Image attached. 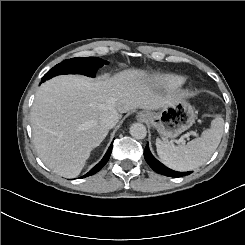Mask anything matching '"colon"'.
<instances>
[{
    "label": "colon",
    "mask_w": 245,
    "mask_h": 245,
    "mask_svg": "<svg viewBox=\"0 0 245 245\" xmlns=\"http://www.w3.org/2000/svg\"><path fill=\"white\" fill-rule=\"evenodd\" d=\"M210 113H211V114H214V113H215V108H214V107H211V108H210Z\"/></svg>",
    "instance_id": "5ec220e1"
}]
</instances>
